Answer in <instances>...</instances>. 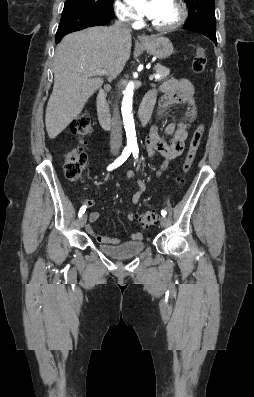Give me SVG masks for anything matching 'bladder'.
<instances>
[{"mask_svg":"<svg viewBox=\"0 0 254 397\" xmlns=\"http://www.w3.org/2000/svg\"><path fill=\"white\" fill-rule=\"evenodd\" d=\"M99 249L110 257L126 259L142 253L145 249V244L142 241H134L115 246L100 245Z\"/></svg>","mask_w":254,"mask_h":397,"instance_id":"1","label":"bladder"}]
</instances>
